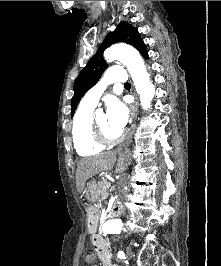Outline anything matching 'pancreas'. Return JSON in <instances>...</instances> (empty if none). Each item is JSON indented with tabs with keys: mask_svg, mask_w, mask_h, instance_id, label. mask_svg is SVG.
I'll return each instance as SVG.
<instances>
[{
	"mask_svg": "<svg viewBox=\"0 0 221 266\" xmlns=\"http://www.w3.org/2000/svg\"><path fill=\"white\" fill-rule=\"evenodd\" d=\"M98 186L100 188L101 198L108 196V189L111 187V183L105 179L103 181L98 182Z\"/></svg>",
	"mask_w": 221,
	"mask_h": 266,
	"instance_id": "pancreas-1",
	"label": "pancreas"
}]
</instances>
